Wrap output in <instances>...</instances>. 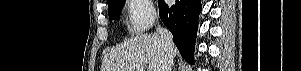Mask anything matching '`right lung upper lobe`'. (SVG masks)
Segmentation results:
<instances>
[{
  "label": "right lung upper lobe",
  "instance_id": "1",
  "mask_svg": "<svg viewBox=\"0 0 301 71\" xmlns=\"http://www.w3.org/2000/svg\"><path fill=\"white\" fill-rule=\"evenodd\" d=\"M110 1H112V0H107L108 3H109Z\"/></svg>",
  "mask_w": 301,
  "mask_h": 71
}]
</instances>
